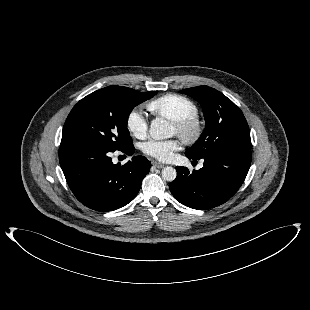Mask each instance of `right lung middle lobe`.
I'll list each match as a JSON object with an SVG mask.
<instances>
[{"mask_svg":"<svg viewBox=\"0 0 310 310\" xmlns=\"http://www.w3.org/2000/svg\"><path fill=\"white\" fill-rule=\"evenodd\" d=\"M157 91L138 92L122 86H108L80 100L68 115L61 145L96 144L123 150L132 145L127 122L132 109Z\"/></svg>","mask_w":310,"mask_h":310,"instance_id":"right-lung-middle-lobe-1","label":"right lung middle lobe"}]
</instances>
